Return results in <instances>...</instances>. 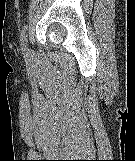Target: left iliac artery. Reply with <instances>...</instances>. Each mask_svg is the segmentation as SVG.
Here are the masks:
<instances>
[{
    "mask_svg": "<svg viewBox=\"0 0 135 161\" xmlns=\"http://www.w3.org/2000/svg\"><path fill=\"white\" fill-rule=\"evenodd\" d=\"M26 32H27V25L24 24V26L22 27V30H21V35H20V41H21V46H22L23 51L25 49L26 41H27V39H26V37H27Z\"/></svg>",
    "mask_w": 135,
    "mask_h": 161,
    "instance_id": "left-iliac-artery-1",
    "label": "left iliac artery"
}]
</instances>
